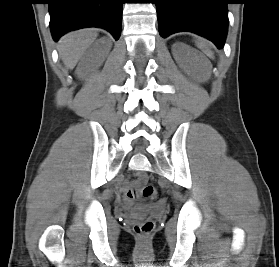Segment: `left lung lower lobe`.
<instances>
[{
  "label": "left lung lower lobe",
  "instance_id": "obj_1",
  "mask_svg": "<svg viewBox=\"0 0 279 267\" xmlns=\"http://www.w3.org/2000/svg\"><path fill=\"white\" fill-rule=\"evenodd\" d=\"M228 0H155L160 36L193 32L221 49L228 27Z\"/></svg>",
  "mask_w": 279,
  "mask_h": 267
}]
</instances>
